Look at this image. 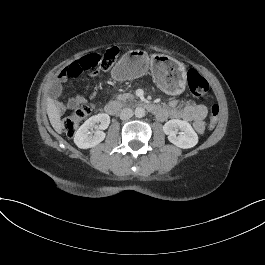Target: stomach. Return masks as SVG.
<instances>
[{
  "mask_svg": "<svg viewBox=\"0 0 265 265\" xmlns=\"http://www.w3.org/2000/svg\"><path fill=\"white\" fill-rule=\"evenodd\" d=\"M151 70L154 81L166 93L180 94L186 86V70L178 60L164 54H155L149 58L142 50L125 53L113 69L115 79L131 80Z\"/></svg>",
  "mask_w": 265,
  "mask_h": 265,
  "instance_id": "0dacf381",
  "label": "stomach"
}]
</instances>
